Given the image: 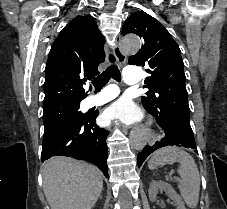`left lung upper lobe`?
<instances>
[{
	"label": "left lung upper lobe",
	"mask_w": 227,
	"mask_h": 209,
	"mask_svg": "<svg viewBox=\"0 0 227 209\" xmlns=\"http://www.w3.org/2000/svg\"><path fill=\"white\" fill-rule=\"evenodd\" d=\"M122 35L137 34L143 40L130 65L145 66L149 91L141 97L144 108L155 116L174 118L190 126V109L185 87L181 51L170 33L144 11L131 14L124 22Z\"/></svg>",
	"instance_id": "5c2ea615"
}]
</instances>
